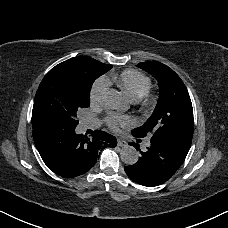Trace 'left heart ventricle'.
Returning a JSON list of instances; mask_svg holds the SVG:
<instances>
[{
	"mask_svg": "<svg viewBox=\"0 0 228 228\" xmlns=\"http://www.w3.org/2000/svg\"><path fill=\"white\" fill-rule=\"evenodd\" d=\"M128 103H129V101H128ZM115 110L118 112V115H123V114H126L128 112L129 108L127 110H121V109H115Z\"/></svg>",
	"mask_w": 228,
	"mask_h": 228,
	"instance_id": "obj_1",
	"label": "left heart ventricle"
}]
</instances>
